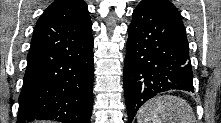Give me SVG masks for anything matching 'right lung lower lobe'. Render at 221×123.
Masks as SVG:
<instances>
[{
  "label": "right lung lower lobe",
  "instance_id": "obj_1",
  "mask_svg": "<svg viewBox=\"0 0 221 123\" xmlns=\"http://www.w3.org/2000/svg\"><path fill=\"white\" fill-rule=\"evenodd\" d=\"M91 31L63 45L30 49L18 123L34 119L90 123L94 68Z\"/></svg>",
  "mask_w": 221,
  "mask_h": 123
}]
</instances>
